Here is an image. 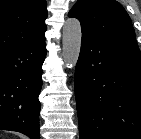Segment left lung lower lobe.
Listing matches in <instances>:
<instances>
[{"label":"left lung lower lobe","instance_id":"obj_1","mask_svg":"<svg viewBox=\"0 0 141 139\" xmlns=\"http://www.w3.org/2000/svg\"><path fill=\"white\" fill-rule=\"evenodd\" d=\"M75 96L80 139H141L139 48L82 33Z\"/></svg>","mask_w":141,"mask_h":139}]
</instances>
